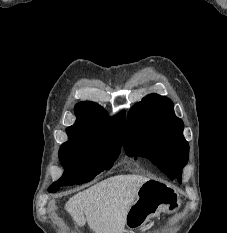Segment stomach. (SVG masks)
Masks as SVG:
<instances>
[{"label":"stomach","mask_w":227,"mask_h":233,"mask_svg":"<svg viewBox=\"0 0 227 233\" xmlns=\"http://www.w3.org/2000/svg\"><path fill=\"white\" fill-rule=\"evenodd\" d=\"M179 206V194L172 186L149 180L138 189L137 197L128 211L126 225L130 229L140 228L160 212L175 211Z\"/></svg>","instance_id":"stomach-1"}]
</instances>
